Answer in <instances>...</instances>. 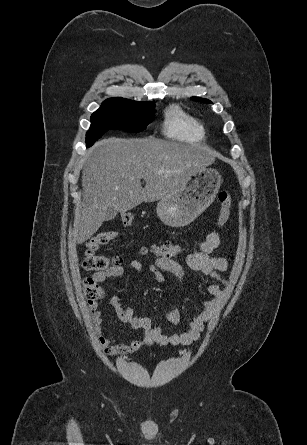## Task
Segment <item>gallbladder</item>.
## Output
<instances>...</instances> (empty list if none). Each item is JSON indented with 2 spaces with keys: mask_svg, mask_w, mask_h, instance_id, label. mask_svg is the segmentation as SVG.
<instances>
[{
  "mask_svg": "<svg viewBox=\"0 0 307 445\" xmlns=\"http://www.w3.org/2000/svg\"><path fill=\"white\" fill-rule=\"evenodd\" d=\"M115 216H116L115 212L112 211L111 208H108V211H107V213H105L104 218L108 222H111L113 220V218H115Z\"/></svg>",
  "mask_w": 307,
  "mask_h": 445,
  "instance_id": "1",
  "label": "gallbladder"
}]
</instances>
